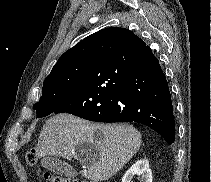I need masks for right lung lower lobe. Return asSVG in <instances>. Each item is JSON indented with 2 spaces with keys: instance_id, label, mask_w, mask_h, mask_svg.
I'll return each instance as SVG.
<instances>
[{
  "instance_id": "right-lung-lower-lobe-1",
  "label": "right lung lower lobe",
  "mask_w": 211,
  "mask_h": 182,
  "mask_svg": "<svg viewBox=\"0 0 211 182\" xmlns=\"http://www.w3.org/2000/svg\"><path fill=\"white\" fill-rule=\"evenodd\" d=\"M54 113L96 122H136L175 140L171 94L158 59L127 30H100L84 81Z\"/></svg>"
}]
</instances>
